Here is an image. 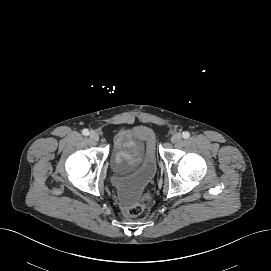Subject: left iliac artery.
Listing matches in <instances>:
<instances>
[{
	"label": "left iliac artery",
	"instance_id": "44dca946",
	"mask_svg": "<svg viewBox=\"0 0 271 271\" xmlns=\"http://www.w3.org/2000/svg\"><path fill=\"white\" fill-rule=\"evenodd\" d=\"M184 139H188L190 137V133L188 131L183 132L182 134Z\"/></svg>",
	"mask_w": 271,
	"mask_h": 271
}]
</instances>
